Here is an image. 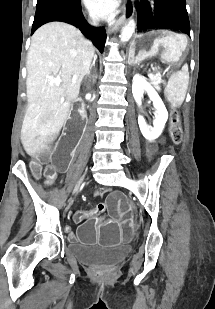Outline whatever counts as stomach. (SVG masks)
Instances as JSON below:
<instances>
[{
  "mask_svg": "<svg viewBox=\"0 0 215 309\" xmlns=\"http://www.w3.org/2000/svg\"><path fill=\"white\" fill-rule=\"evenodd\" d=\"M187 36L166 29H153L134 35L129 47V62L137 64L157 55L164 62L179 63L186 57Z\"/></svg>",
  "mask_w": 215,
  "mask_h": 309,
  "instance_id": "stomach-1",
  "label": "stomach"
}]
</instances>
